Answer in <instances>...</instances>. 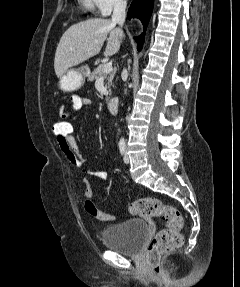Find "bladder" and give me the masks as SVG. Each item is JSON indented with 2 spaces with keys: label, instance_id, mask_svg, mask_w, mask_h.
<instances>
[{
  "label": "bladder",
  "instance_id": "1",
  "mask_svg": "<svg viewBox=\"0 0 240 287\" xmlns=\"http://www.w3.org/2000/svg\"><path fill=\"white\" fill-rule=\"evenodd\" d=\"M149 227L143 219H129L106 227L102 240L105 247L128 256L140 254L149 237Z\"/></svg>",
  "mask_w": 240,
  "mask_h": 287
}]
</instances>
